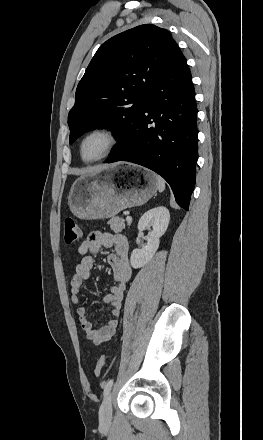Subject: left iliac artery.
<instances>
[{
	"mask_svg": "<svg viewBox=\"0 0 263 440\" xmlns=\"http://www.w3.org/2000/svg\"><path fill=\"white\" fill-rule=\"evenodd\" d=\"M112 385H113V379H110L106 383V385L104 386V392H103L104 396H107L109 394V392H110V390L112 388Z\"/></svg>",
	"mask_w": 263,
	"mask_h": 440,
	"instance_id": "44dca946",
	"label": "left iliac artery"
}]
</instances>
